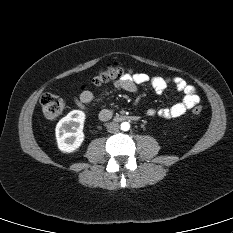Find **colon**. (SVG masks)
Returning <instances> with one entry per match:
<instances>
[{
  "label": "colon",
  "instance_id": "obj_1",
  "mask_svg": "<svg viewBox=\"0 0 233 233\" xmlns=\"http://www.w3.org/2000/svg\"><path fill=\"white\" fill-rule=\"evenodd\" d=\"M126 74V69L120 64L109 65L100 70L93 78L92 84L101 85L114 79H119ZM40 104L44 116L49 120L57 119L65 109L63 99L57 95L46 93L40 99ZM203 107L196 105L192 109L194 115L202 112Z\"/></svg>",
  "mask_w": 233,
  "mask_h": 233
}]
</instances>
